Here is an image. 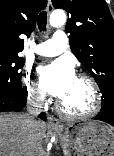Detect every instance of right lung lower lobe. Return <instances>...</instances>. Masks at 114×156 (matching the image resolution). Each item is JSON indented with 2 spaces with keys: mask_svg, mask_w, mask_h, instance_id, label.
Here are the masks:
<instances>
[{
  "mask_svg": "<svg viewBox=\"0 0 114 156\" xmlns=\"http://www.w3.org/2000/svg\"><path fill=\"white\" fill-rule=\"evenodd\" d=\"M26 104L25 94L21 96L0 95V112L5 111H21ZM39 117L46 120L45 114L41 113Z\"/></svg>",
  "mask_w": 114,
  "mask_h": 156,
  "instance_id": "right-lung-lower-lobe-1",
  "label": "right lung lower lobe"
}]
</instances>
